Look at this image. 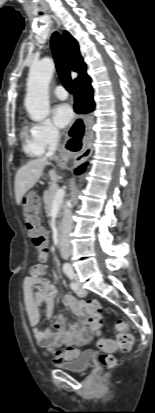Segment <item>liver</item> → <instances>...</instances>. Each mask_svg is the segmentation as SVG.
I'll return each instance as SVG.
<instances>
[{"mask_svg": "<svg viewBox=\"0 0 155 413\" xmlns=\"http://www.w3.org/2000/svg\"><path fill=\"white\" fill-rule=\"evenodd\" d=\"M47 164V157H41L29 161L17 171L15 176V199L18 205H20L24 194L41 178Z\"/></svg>", "mask_w": 155, "mask_h": 413, "instance_id": "6515ba94", "label": "liver"}]
</instances>
